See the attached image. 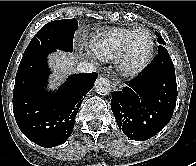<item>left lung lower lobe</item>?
Here are the masks:
<instances>
[{
  "mask_svg": "<svg viewBox=\"0 0 196 166\" xmlns=\"http://www.w3.org/2000/svg\"><path fill=\"white\" fill-rule=\"evenodd\" d=\"M173 62L162 50L122 92H114L111 109L118 127L135 140H147L162 130L176 106Z\"/></svg>",
  "mask_w": 196,
  "mask_h": 166,
  "instance_id": "0a47b994",
  "label": "left lung lower lobe"
}]
</instances>
